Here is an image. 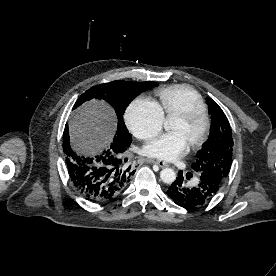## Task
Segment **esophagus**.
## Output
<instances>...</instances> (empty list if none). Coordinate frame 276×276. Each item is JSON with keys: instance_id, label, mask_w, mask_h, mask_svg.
<instances>
[{"instance_id": "esophagus-1", "label": "esophagus", "mask_w": 276, "mask_h": 276, "mask_svg": "<svg viewBox=\"0 0 276 276\" xmlns=\"http://www.w3.org/2000/svg\"><path fill=\"white\" fill-rule=\"evenodd\" d=\"M147 162L149 163H155L157 165H159L160 167H168L169 164L164 162V161H159V160H152V159H147Z\"/></svg>"}]
</instances>
